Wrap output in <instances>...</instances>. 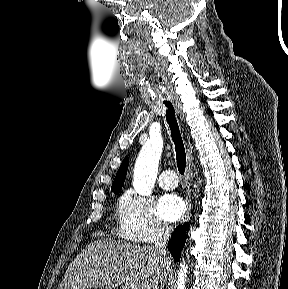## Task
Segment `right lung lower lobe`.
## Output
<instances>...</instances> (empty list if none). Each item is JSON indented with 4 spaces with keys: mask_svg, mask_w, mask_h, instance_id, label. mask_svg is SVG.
Here are the masks:
<instances>
[{
    "mask_svg": "<svg viewBox=\"0 0 288 289\" xmlns=\"http://www.w3.org/2000/svg\"><path fill=\"white\" fill-rule=\"evenodd\" d=\"M189 230V225L186 223L183 226H178L168 243V249L176 261H179L181 251L185 245L187 239V233Z\"/></svg>",
    "mask_w": 288,
    "mask_h": 289,
    "instance_id": "right-lung-lower-lobe-1",
    "label": "right lung lower lobe"
}]
</instances>
